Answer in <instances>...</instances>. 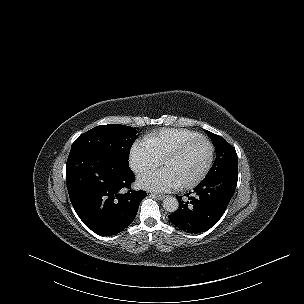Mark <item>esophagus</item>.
I'll use <instances>...</instances> for the list:
<instances>
[{"mask_svg":"<svg viewBox=\"0 0 304 304\" xmlns=\"http://www.w3.org/2000/svg\"><path fill=\"white\" fill-rule=\"evenodd\" d=\"M152 196L155 197V198H157L158 200H163V199H165L167 197L166 195L157 194V193L152 194Z\"/></svg>","mask_w":304,"mask_h":304,"instance_id":"34e87169","label":"esophagus"}]
</instances>
